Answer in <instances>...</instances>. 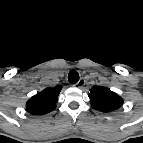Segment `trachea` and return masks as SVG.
Wrapping results in <instances>:
<instances>
[{"mask_svg": "<svg viewBox=\"0 0 143 143\" xmlns=\"http://www.w3.org/2000/svg\"><path fill=\"white\" fill-rule=\"evenodd\" d=\"M68 81L70 84H75L79 81V74L76 70H71L68 74Z\"/></svg>", "mask_w": 143, "mask_h": 143, "instance_id": "trachea-1", "label": "trachea"}]
</instances>
